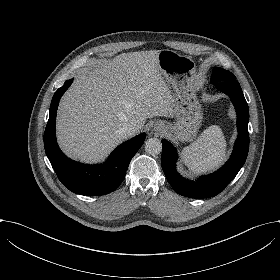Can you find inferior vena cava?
Here are the masks:
<instances>
[{
    "instance_id": "602c4592",
    "label": "inferior vena cava",
    "mask_w": 280,
    "mask_h": 280,
    "mask_svg": "<svg viewBox=\"0 0 280 280\" xmlns=\"http://www.w3.org/2000/svg\"><path fill=\"white\" fill-rule=\"evenodd\" d=\"M138 130V126L134 128L132 125L126 124L123 127L119 128L117 133L119 138L127 139L135 135Z\"/></svg>"
}]
</instances>
